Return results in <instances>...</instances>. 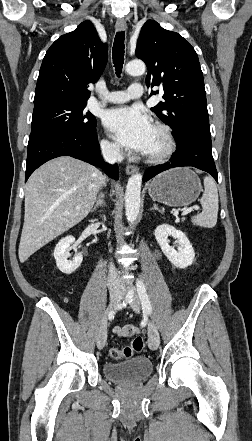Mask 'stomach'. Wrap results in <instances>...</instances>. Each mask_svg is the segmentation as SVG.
I'll list each match as a JSON object with an SVG mask.
<instances>
[{
  "instance_id": "0dacf381",
  "label": "stomach",
  "mask_w": 252,
  "mask_h": 441,
  "mask_svg": "<svg viewBox=\"0 0 252 441\" xmlns=\"http://www.w3.org/2000/svg\"><path fill=\"white\" fill-rule=\"evenodd\" d=\"M202 191L198 176L189 168L179 167L155 177L148 187L150 197L173 207L193 203Z\"/></svg>"
}]
</instances>
